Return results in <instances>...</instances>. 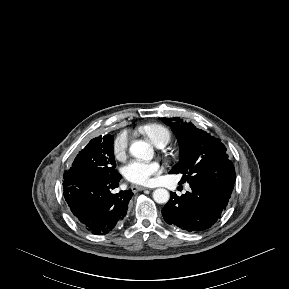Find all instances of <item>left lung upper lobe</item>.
Here are the masks:
<instances>
[{
	"instance_id": "obj_1",
	"label": "left lung upper lobe",
	"mask_w": 289,
	"mask_h": 289,
	"mask_svg": "<svg viewBox=\"0 0 289 289\" xmlns=\"http://www.w3.org/2000/svg\"><path fill=\"white\" fill-rule=\"evenodd\" d=\"M171 126L181 145L180 161L170 174L182 173L181 182L232 194L235 168L229 160L225 145L192 123L180 118H161Z\"/></svg>"
}]
</instances>
